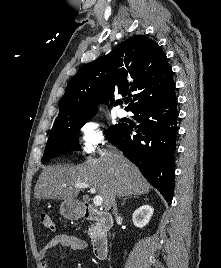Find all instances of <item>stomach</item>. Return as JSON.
Listing matches in <instances>:
<instances>
[{"mask_svg":"<svg viewBox=\"0 0 221 268\" xmlns=\"http://www.w3.org/2000/svg\"><path fill=\"white\" fill-rule=\"evenodd\" d=\"M60 212L66 219L78 220L83 214L82 204L76 200H64L60 205Z\"/></svg>","mask_w":221,"mask_h":268,"instance_id":"0dacf381","label":"stomach"}]
</instances>
